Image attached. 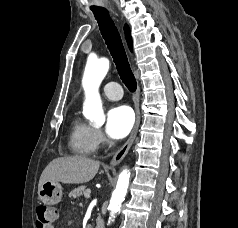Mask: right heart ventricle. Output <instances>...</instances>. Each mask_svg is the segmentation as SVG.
<instances>
[{
	"mask_svg": "<svg viewBox=\"0 0 238 228\" xmlns=\"http://www.w3.org/2000/svg\"><path fill=\"white\" fill-rule=\"evenodd\" d=\"M69 146L74 154L80 156H90L97 149L93 128L77 115L71 120Z\"/></svg>",
	"mask_w": 238,
	"mask_h": 228,
	"instance_id": "right-heart-ventricle-1",
	"label": "right heart ventricle"
}]
</instances>
